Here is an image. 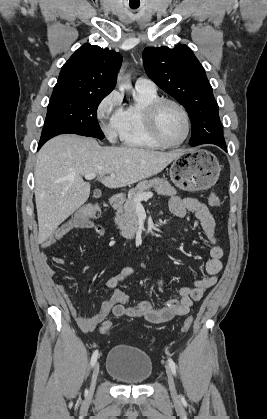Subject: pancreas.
Segmentation results:
<instances>
[{"instance_id":"cf45deb5","label":"pancreas","mask_w":267,"mask_h":419,"mask_svg":"<svg viewBox=\"0 0 267 419\" xmlns=\"http://www.w3.org/2000/svg\"><path fill=\"white\" fill-rule=\"evenodd\" d=\"M154 188V190L164 196H175L177 191L171 184L163 178H153L145 180L137 184L128 193V198L125 200L123 206L117 209L115 216V224L125 238H132L138 229V216L136 213L135 198L137 195L147 193V190Z\"/></svg>"}]
</instances>
